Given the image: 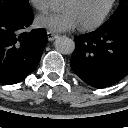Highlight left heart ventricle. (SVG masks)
Listing matches in <instances>:
<instances>
[{
    "mask_svg": "<svg viewBox=\"0 0 128 128\" xmlns=\"http://www.w3.org/2000/svg\"><path fill=\"white\" fill-rule=\"evenodd\" d=\"M110 0H64L62 10L70 11L79 25L94 22L108 6Z\"/></svg>",
    "mask_w": 128,
    "mask_h": 128,
    "instance_id": "left-heart-ventricle-1",
    "label": "left heart ventricle"
}]
</instances>
